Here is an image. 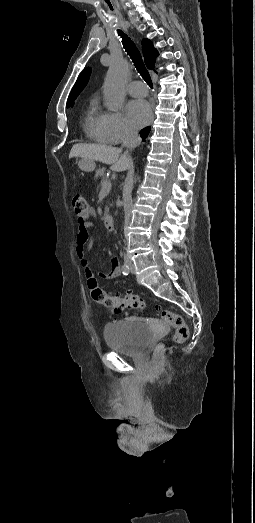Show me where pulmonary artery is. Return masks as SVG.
<instances>
[{
    "mask_svg": "<svg viewBox=\"0 0 255 523\" xmlns=\"http://www.w3.org/2000/svg\"><path fill=\"white\" fill-rule=\"evenodd\" d=\"M128 92L132 96H145L148 92V86L141 81H133L128 85Z\"/></svg>",
    "mask_w": 255,
    "mask_h": 523,
    "instance_id": "pulmonary-artery-1",
    "label": "pulmonary artery"
}]
</instances>
